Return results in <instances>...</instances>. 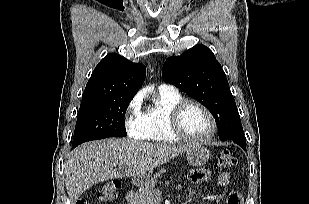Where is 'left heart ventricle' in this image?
Returning <instances> with one entry per match:
<instances>
[{
	"label": "left heart ventricle",
	"instance_id": "left-heart-ventricle-1",
	"mask_svg": "<svg viewBox=\"0 0 309 204\" xmlns=\"http://www.w3.org/2000/svg\"><path fill=\"white\" fill-rule=\"evenodd\" d=\"M183 129L192 137L204 138L210 133L211 125L206 114L197 106L186 107L181 115Z\"/></svg>",
	"mask_w": 309,
	"mask_h": 204
}]
</instances>
